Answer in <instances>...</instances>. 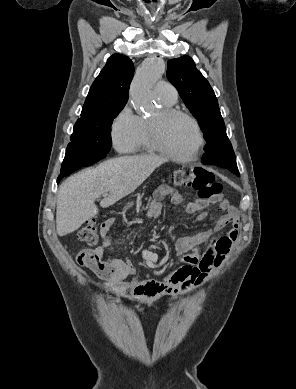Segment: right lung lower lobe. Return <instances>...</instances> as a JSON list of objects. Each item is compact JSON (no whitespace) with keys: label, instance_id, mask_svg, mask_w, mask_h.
<instances>
[{"label":"right lung lower lobe","instance_id":"right-lung-lower-lobe-1","mask_svg":"<svg viewBox=\"0 0 296 389\" xmlns=\"http://www.w3.org/2000/svg\"><path fill=\"white\" fill-rule=\"evenodd\" d=\"M70 173H72V172H64V173L62 172V173L59 175V177L57 178V183H59L60 180H61L63 177L69 175Z\"/></svg>","mask_w":296,"mask_h":389}]
</instances>
